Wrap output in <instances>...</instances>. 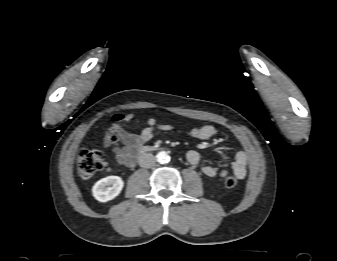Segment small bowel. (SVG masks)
Listing matches in <instances>:
<instances>
[{
	"instance_id": "small-bowel-1",
	"label": "small bowel",
	"mask_w": 337,
	"mask_h": 261,
	"mask_svg": "<svg viewBox=\"0 0 337 261\" xmlns=\"http://www.w3.org/2000/svg\"><path fill=\"white\" fill-rule=\"evenodd\" d=\"M135 118L133 113H117L112 116V125L118 139L123 144V147L114 152L116 162L125 167H132L135 164V158L139 150L144 144L149 142L154 136L160 132H169L174 126L171 124H158L157 121L150 117L146 119V127L138 134L130 133L125 130L120 122H130ZM216 129L212 125H204L201 127L192 128L187 132L191 138L199 140H207L214 136ZM105 146L109 143L105 139ZM186 159L191 165H197L202 157L199 152L189 150L186 153ZM202 173L207 177L220 176L224 177L228 174L226 169H218L213 165H205L202 167ZM231 170L238 179H243L247 173V155L244 151L236 152L233 161L231 162Z\"/></svg>"
}]
</instances>
